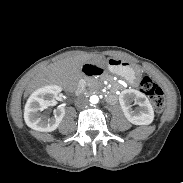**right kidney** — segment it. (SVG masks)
Instances as JSON below:
<instances>
[{
    "instance_id": "right-kidney-1",
    "label": "right kidney",
    "mask_w": 183,
    "mask_h": 183,
    "mask_svg": "<svg viewBox=\"0 0 183 183\" xmlns=\"http://www.w3.org/2000/svg\"><path fill=\"white\" fill-rule=\"evenodd\" d=\"M61 91L58 85H47L36 90L25 105L24 119L28 127L41 132H52L61 123L65 109L58 106L52 117L44 116L41 111L52 105L54 98Z\"/></svg>"
}]
</instances>
